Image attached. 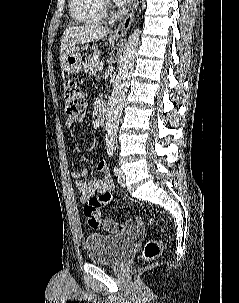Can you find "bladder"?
<instances>
[{
  "instance_id": "31cf9c89",
  "label": "bladder",
  "mask_w": 239,
  "mask_h": 303,
  "mask_svg": "<svg viewBox=\"0 0 239 303\" xmlns=\"http://www.w3.org/2000/svg\"><path fill=\"white\" fill-rule=\"evenodd\" d=\"M136 239L135 233L88 234L84 240L87 259L101 265H117Z\"/></svg>"
}]
</instances>
